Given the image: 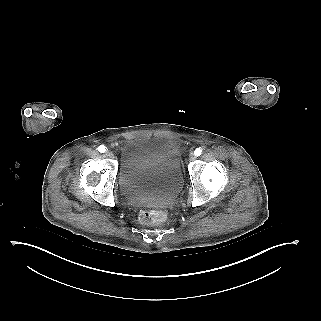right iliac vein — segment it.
Masks as SVG:
<instances>
[{
	"mask_svg": "<svg viewBox=\"0 0 321 321\" xmlns=\"http://www.w3.org/2000/svg\"><path fill=\"white\" fill-rule=\"evenodd\" d=\"M106 156L109 157V158H113V153L111 151H106Z\"/></svg>",
	"mask_w": 321,
	"mask_h": 321,
	"instance_id": "obj_1",
	"label": "right iliac vein"
}]
</instances>
